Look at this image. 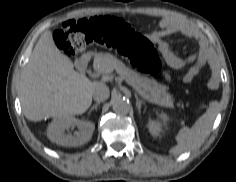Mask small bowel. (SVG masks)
Returning a JSON list of instances; mask_svg holds the SVG:
<instances>
[{
	"label": "small bowel",
	"mask_w": 236,
	"mask_h": 182,
	"mask_svg": "<svg viewBox=\"0 0 236 182\" xmlns=\"http://www.w3.org/2000/svg\"><path fill=\"white\" fill-rule=\"evenodd\" d=\"M176 33H181L189 38H198V33L193 27L174 17L162 18L159 22V29L148 32L144 36L152 44L157 46L165 62L171 68L181 69L187 65H191L190 69L182 78L183 83H191L206 62V48L204 44H201L197 53L191 54L187 57H179L172 51L169 44L164 40L165 37Z\"/></svg>",
	"instance_id": "1"
}]
</instances>
